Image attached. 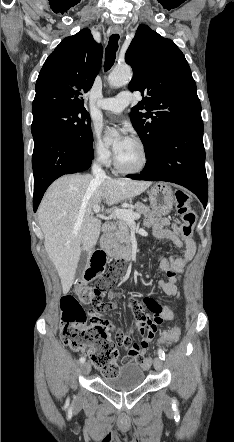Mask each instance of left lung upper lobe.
I'll use <instances>...</instances> for the list:
<instances>
[{
    "label": "left lung upper lobe",
    "mask_w": 234,
    "mask_h": 442,
    "mask_svg": "<svg viewBox=\"0 0 234 442\" xmlns=\"http://www.w3.org/2000/svg\"><path fill=\"white\" fill-rule=\"evenodd\" d=\"M125 60L133 69L129 89L145 94L132 108L130 118L150 161L169 129L201 118V104L181 50L148 26L139 25Z\"/></svg>",
    "instance_id": "left-lung-upper-lobe-1"
}]
</instances>
